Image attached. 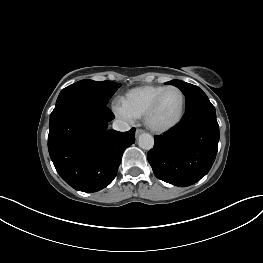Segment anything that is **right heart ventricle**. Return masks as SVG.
<instances>
[{
  "instance_id": "obj_1",
  "label": "right heart ventricle",
  "mask_w": 263,
  "mask_h": 263,
  "mask_svg": "<svg viewBox=\"0 0 263 263\" xmlns=\"http://www.w3.org/2000/svg\"><path fill=\"white\" fill-rule=\"evenodd\" d=\"M165 87L163 85H146L133 88L121 98V107L133 118L144 117L153 99Z\"/></svg>"
}]
</instances>
